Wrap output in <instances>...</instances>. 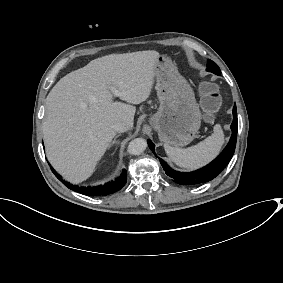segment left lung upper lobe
Wrapping results in <instances>:
<instances>
[{
  "label": "left lung upper lobe",
  "instance_id": "1",
  "mask_svg": "<svg viewBox=\"0 0 283 283\" xmlns=\"http://www.w3.org/2000/svg\"><path fill=\"white\" fill-rule=\"evenodd\" d=\"M207 71H211V72H213L217 75H220V73H221L217 64L214 63L212 60L207 61Z\"/></svg>",
  "mask_w": 283,
  "mask_h": 283
}]
</instances>
